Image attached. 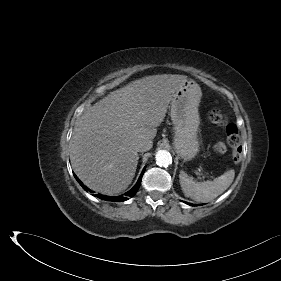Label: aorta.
Returning a JSON list of instances; mask_svg holds the SVG:
<instances>
[{
    "label": "aorta",
    "mask_w": 281,
    "mask_h": 281,
    "mask_svg": "<svg viewBox=\"0 0 281 281\" xmlns=\"http://www.w3.org/2000/svg\"><path fill=\"white\" fill-rule=\"evenodd\" d=\"M155 158H156V163L159 166L165 167L172 163V157H171L170 153L167 152L166 150H159L156 153Z\"/></svg>",
    "instance_id": "1"
}]
</instances>
